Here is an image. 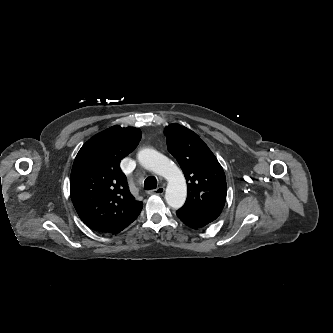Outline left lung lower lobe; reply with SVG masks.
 I'll use <instances>...</instances> for the list:
<instances>
[{"label":"left lung lower lobe","mask_w":333,"mask_h":333,"mask_svg":"<svg viewBox=\"0 0 333 333\" xmlns=\"http://www.w3.org/2000/svg\"><path fill=\"white\" fill-rule=\"evenodd\" d=\"M177 217L187 226L199 229L214 221L217 217L188 210L181 207L176 211Z\"/></svg>","instance_id":"obj_1"}]
</instances>
